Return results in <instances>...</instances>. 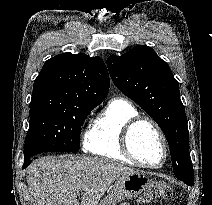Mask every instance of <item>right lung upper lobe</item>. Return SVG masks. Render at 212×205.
Wrapping results in <instances>:
<instances>
[{
	"label": "right lung upper lobe",
	"mask_w": 212,
	"mask_h": 205,
	"mask_svg": "<svg viewBox=\"0 0 212 205\" xmlns=\"http://www.w3.org/2000/svg\"><path fill=\"white\" fill-rule=\"evenodd\" d=\"M108 90L109 75L100 57L68 52L45 62L34 81L30 107L99 105Z\"/></svg>",
	"instance_id": "obj_1"
}]
</instances>
